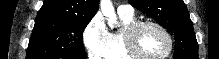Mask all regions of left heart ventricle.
<instances>
[{"label":"left heart ventricle","instance_id":"b2bd125f","mask_svg":"<svg viewBox=\"0 0 219 59\" xmlns=\"http://www.w3.org/2000/svg\"><path fill=\"white\" fill-rule=\"evenodd\" d=\"M137 46L144 56L159 57L167 52L168 41L155 27L145 26L138 33Z\"/></svg>","mask_w":219,"mask_h":59}]
</instances>
